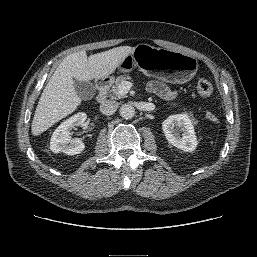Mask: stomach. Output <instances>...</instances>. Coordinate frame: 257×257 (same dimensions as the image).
Returning <instances> with one entry per match:
<instances>
[{"label": "stomach", "mask_w": 257, "mask_h": 257, "mask_svg": "<svg viewBox=\"0 0 257 257\" xmlns=\"http://www.w3.org/2000/svg\"><path fill=\"white\" fill-rule=\"evenodd\" d=\"M198 66L197 59L191 55L139 44L123 59L118 69L127 73L138 68L147 76L182 84L195 76Z\"/></svg>", "instance_id": "1"}]
</instances>
